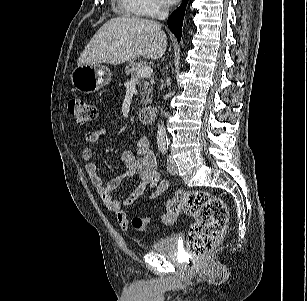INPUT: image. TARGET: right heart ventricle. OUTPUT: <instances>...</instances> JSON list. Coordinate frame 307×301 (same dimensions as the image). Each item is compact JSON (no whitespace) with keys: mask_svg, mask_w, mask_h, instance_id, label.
Masks as SVG:
<instances>
[{"mask_svg":"<svg viewBox=\"0 0 307 301\" xmlns=\"http://www.w3.org/2000/svg\"><path fill=\"white\" fill-rule=\"evenodd\" d=\"M118 9L122 11L124 14L140 17V13L138 12L136 0H117Z\"/></svg>","mask_w":307,"mask_h":301,"instance_id":"obj_1","label":"right heart ventricle"}]
</instances>
